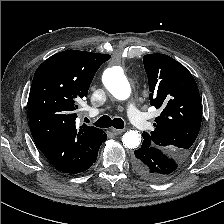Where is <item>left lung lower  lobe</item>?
<instances>
[{
	"mask_svg": "<svg viewBox=\"0 0 224 224\" xmlns=\"http://www.w3.org/2000/svg\"><path fill=\"white\" fill-rule=\"evenodd\" d=\"M133 166L140 176L152 181H160L161 176L174 173L178 167L173 157L147 144L135 151Z\"/></svg>",
	"mask_w": 224,
	"mask_h": 224,
	"instance_id": "obj_1",
	"label": "left lung lower lobe"
}]
</instances>
